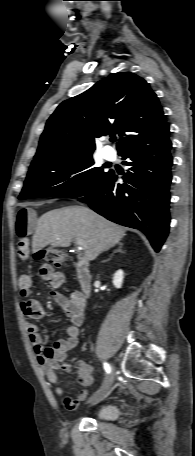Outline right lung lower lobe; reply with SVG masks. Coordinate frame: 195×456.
<instances>
[{
  "label": "right lung lower lobe",
  "instance_id": "1",
  "mask_svg": "<svg viewBox=\"0 0 195 456\" xmlns=\"http://www.w3.org/2000/svg\"><path fill=\"white\" fill-rule=\"evenodd\" d=\"M172 144L169 137L125 147L119 155L129 166L119 184L114 172L107 175L81 199L107 219L141 230L158 252L169 231V185Z\"/></svg>",
  "mask_w": 195,
  "mask_h": 456
}]
</instances>
